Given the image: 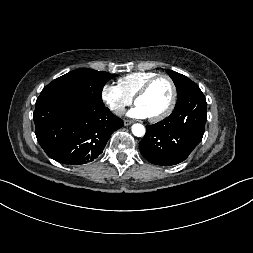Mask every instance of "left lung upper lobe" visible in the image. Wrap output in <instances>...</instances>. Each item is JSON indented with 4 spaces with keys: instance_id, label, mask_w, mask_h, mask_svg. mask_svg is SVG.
Returning a JSON list of instances; mask_svg holds the SVG:
<instances>
[{
    "instance_id": "obj_1",
    "label": "left lung upper lobe",
    "mask_w": 253,
    "mask_h": 253,
    "mask_svg": "<svg viewBox=\"0 0 253 253\" xmlns=\"http://www.w3.org/2000/svg\"><path fill=\"white\" fill-rule=\"evenodd\" d=\"M166 72L168 73V75L172 78L176 89H177V93H178V100H180L182 98V96L187 93V91L193 86L195 85V83L193 81H191L189 78H187L186 76L177 73L175 71L172 70H166Z\"/></svg>"
}]
</instances>
